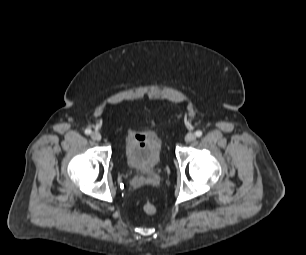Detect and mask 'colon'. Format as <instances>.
<instances>
[{
    "label": "colon",
    "instance_id": "5ec220e1",
    "mask_svg": "<svg viewBox=\"0 0 306 255\" xmlns=\"http://www.w3.org/2000/svg\"><path fill=\"white\" fill-rule=\"evenodd\" d=\"M143 211L148 215H152L156 212V207L152 203L147 202L143 205Z\"/></svg>",
    "mask_w": 306,
    "mask_h": 255
}]
</instances>
